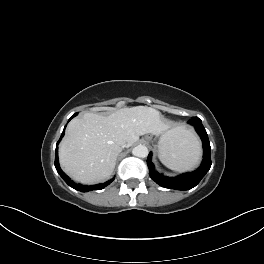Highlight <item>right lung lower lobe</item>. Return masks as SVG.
<instances>
[{"instance_id":"98d812e1","label":"right lung lower lobe","mask_w":264,"mask_h":264,"mask_svg":"<svg viewBox=\"0 0 264 264\" xmlns=\"http://www.w3.org/2000/svg\"><path fill=\"white\" fill-rule=\"evenodd\" d=\"M77 113H75L74 115H72V117L69 119L71 120L74 116H76ZM66 127V126H65ZM65 134V128L62 132V135L59 139V141L62 139V137L64 136ZM58 141V143H59ZM58 143L56 145V155H55V167H56V170L57 172L60 174V176L63 178V180L69 185L71 186L72 188L78 190V191H81V192H88V191H92V190H101L103 189L104 187H106L107 185H109L113 180L114 178H112L111 180L103 183V184H98V185H81V184H75L60 168L59 166V161H58Z\"/></svg>"}]
</instances>
